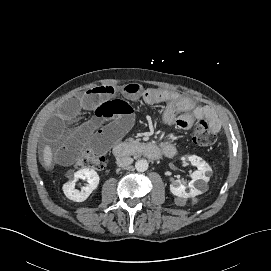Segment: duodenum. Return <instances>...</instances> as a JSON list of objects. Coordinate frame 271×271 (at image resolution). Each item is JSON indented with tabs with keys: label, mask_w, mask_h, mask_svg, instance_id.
Wrapping results in <instances>:
<instances>
[{
	"label": "duodenum",
	"mask_w": 271,
	"mask_h": 271,
	"mask_svg": "<svg viewBox=\"0 0 271 271\" xmlns=\"http://www.w3.org/2000/svg\"><path fill=\"white\" fill-rule=\"evenodd\" d=\"M162 149L155 144H141L131 146L127 143L117 144L113 148V154L116 157H123L129 155H143L150 159H158L161 155Z\"/></svg>",
	"instance_id": "410a0bca"
}]
</instances>
